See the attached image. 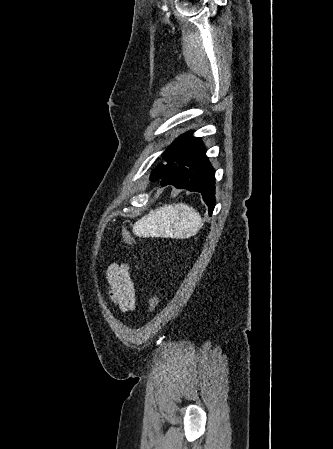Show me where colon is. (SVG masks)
<instances>
[{"label":"colon","mask_w":333,"mask_h":449,"mask_svg":"<svg viewBox=\"0 0 333 449\" xmlns=\"http://www.w3.org/2000/svg\"><path fill=\"white\" fill-rule=\"evenodd\" d=\"M121 237L126 244H128V245L134 244V237L132 236L131 232L127 228L121 229ZM148 304H149V311L153 312L154 310H156L158 308V306L160 304V299L156 295H152L149 298Z\"/></svg>","instance_id":"1"}]
</instances>
